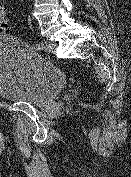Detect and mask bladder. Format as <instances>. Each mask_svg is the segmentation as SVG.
<instances>
[{
	"label": "bladder",
	"instance_id": "bladder-1",
	"mask_svg": "<svg viewBox=\"0 0 131 177\" xmlns=\"http://www.w3.org/2000/svg\"><path fill=\"white\" fill-rule=\"evenodd\" d=\"M65 75L14 37H0V97L42 107L66 85Z\"/></svg>",
	"mask_w": 131,
	"mask_h": 177
}]
</instances>
